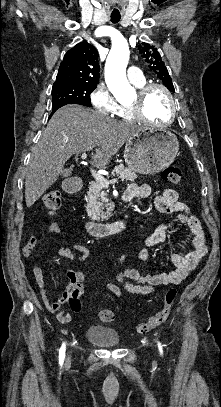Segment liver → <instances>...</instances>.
Listing matches in <instances>:
<instances>
[{
  "instance_id": "liver-1",
  "label": "liver",
  "mask_w": 221,
  "mask_h": 407,
  "mask_svg": "<svg viewBox=\"0 0 221 407\" xmlns=\"http://www.w3.org/2000/svg\"><path fill=\"white\" fill-rule=\"evenodd\" d=\"M139 130L141 127L135 124L116 121L82 106L58 109L33 147L26 168V206L31 207L57 181L72 155L91 151L93 163L104 167Z\"/></svg>"
}]
</instances>
